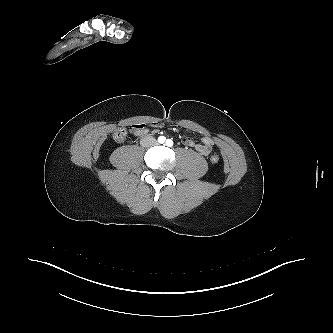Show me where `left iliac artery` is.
Listing matches in <instances>:
<instances>
[{
    "mask_svg": "<svg viewBox=\"0 0 333 333\" xmlns=\"http://www.w3.org/2000/svg\"><path fill=\"white\" fill-rule=\"evenodd\" d=\"M166 145L169 146V147H172V146H173V141L170 140V139H168V140L166 141Z\"/></svg>",
    "mask_w": 333,
    "mask_h": 333,
    "instance_id": "44dca946",
    "label": "left iliac artery"
}]
</instances>
